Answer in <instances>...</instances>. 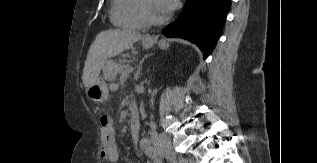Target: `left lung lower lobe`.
Instances as JSON below:
<instances>
[{
	"instance_id": "1",
	"label": "left lung lower lobe",
	"mask_w": 317,
	"mask_h": 163,
	"mask_svg": "<svg viewBox=\"0 0 317 163\" xmlns=\"http://www.w3.org/2000/svg\"><path fill=\"white\" fill-rule=\"evenodd\" d=\"M230 0H187L180 17L162 33L169 38H184L211 54L222 34Z\"/></svg>"
}]
</instances>
